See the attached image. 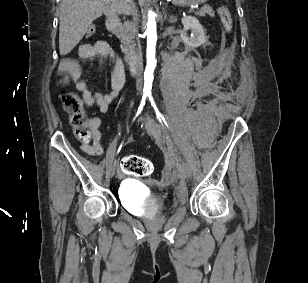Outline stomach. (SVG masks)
Here are the masks:
<instances>
[{
	"label": "stomach",
	"mask_w": 308,
	"mask_h": 283,
	"mask_svg": "<svg viewBox=\"0 0 308 283\" xmlns=\"http://www.w3.org/2000/svg\"><path fill=\"white\" fill-rule=\"evenodd\" d=\"M207 0H172V3L179 6H191L197 4H203Z\"/></svg>",
	"instance_id": "0dacf381"
}]
</instances>
